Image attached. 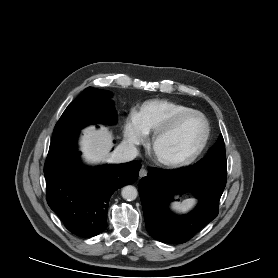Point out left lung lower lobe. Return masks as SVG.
<instances>
[{
    "label": "left lung lower lobe",
    "instance_id": "left-lung-lower-lobe-1",
    "mask_svg": "<svg viewBox=\"0 0 278 278\" xmlns=\"http://www.w3.org/2000/svg\"><path fill=\"white\" fill-rule=\"evenodd\" d=\"M227 174L188 166L178 170L151 167L140 180L139 194L145 225L156 240L167 244L185 243L218 214V204ZM193 191L197 207L187 215L176 216L168 209L176 194Z\"/></svg>",
    "mask_w": 278,
    "mask_h": 278
}]
</instances>
